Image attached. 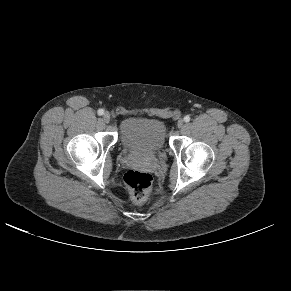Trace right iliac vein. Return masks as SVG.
<instances>
[{"instance_id":"63e3f726","label":"right iliac vein","mask_w":291,"mask_h":291,"mask_svg":"<svg viewBox=\"0 0 291 291\" xmlns=\"http://www.w3.org/2000/svg\"><path fill=\"white\" fill-rule=\"evenodd\" d=\"M103 121L105 123H109L110 122V114L108 112H105L103 115Z\"/></svg>"}]
</instances>
